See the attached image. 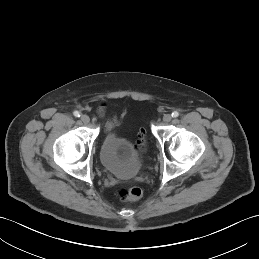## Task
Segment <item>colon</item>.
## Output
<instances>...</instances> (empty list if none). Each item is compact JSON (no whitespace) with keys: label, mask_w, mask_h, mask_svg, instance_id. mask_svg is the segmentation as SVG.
<instances>
[{"label":"colon","mask_w":259,"mask_h":259,"mask_svg":"<svg viewBox=\"0 0 259 259\" xmlns=\"http://www.w3.org/2000/svg\"><path fill=\"white\" fill-rule=\"evenodd\" d=\"M147 145V137L142 133L137 141V146L140 150H144ZM117 194L123 201H137L142 197V190L139 187H121L117 190Z\"/></svg>","instance_id":"5ec220e1"}]
</instances>
